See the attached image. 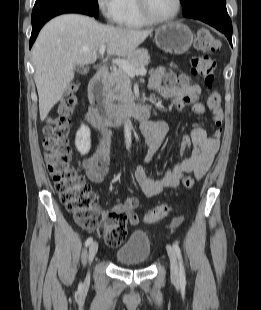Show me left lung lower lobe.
Segmentation results:
<instances>
[{
	"mask_svg": "<svg viewBox=\"0 0 261 310\" xmlns=\"http://www.w3.org/2000/svg\"><path fill=\"white\" fill-rule=\"evenodd\" d=\"M194 19L203 21L224 33L232 45V23L227 11H221L208 16H200Z\"/></svg>",
	"mask_w": 261,
	"mask_h": 310,
	"instance_id": "obj_1",
	"label": "left lung lower lobe"
}]
</instances>
